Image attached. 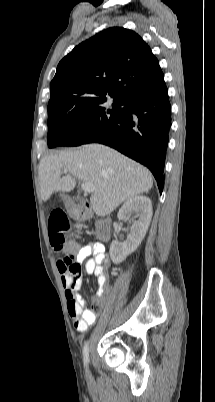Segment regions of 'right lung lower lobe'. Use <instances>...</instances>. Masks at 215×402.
Wrapping results in <instances>:
<instances>
[{"instance_id":"98d812e1","label":"right lung lower lobe","mask_w":215,"mask_h":402,"mask_svg":"<svg viewBox=\"0 0 215 402\" xmlns=\"http://www.w3.org/2000/svg\"><path fill=\"white\" fill-rule=\"evenodd\" d=\"M124 112L101 132L82 144L108 145L140 162L154 175L159 191L164 187V163L171 126V104L166 85L136 93L126 99Z\"/></svg>"}]
</instances>
